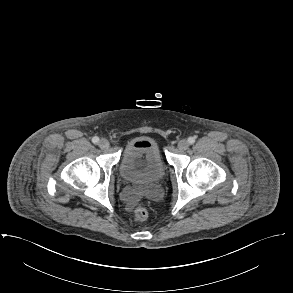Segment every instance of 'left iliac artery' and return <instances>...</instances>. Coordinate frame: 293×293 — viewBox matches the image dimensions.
<instances>
[{
	"label": "left iliac artery",
	"mask_w": 293,
	"mask_h": 293,
	"mask_svg": "<svg viewBox=\"0 0 293 293\" xmlns=\"http://www.w3.org/2000/svg\"><path fill=\"white\" fill-rule=\"evenodd\" d=\"M188 142H189V144H193L195 142V138L194 137H189Z\"/></svg>",
	"instance_id": "44dca946"
}]
</instances>
